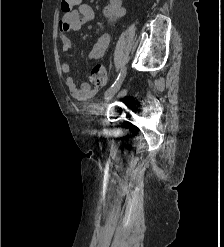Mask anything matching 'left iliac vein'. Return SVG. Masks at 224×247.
I'll list each match as a JSON object with an SVG mask.
<instances>
[{
  "label": "left iliac vein",
  "mask_w": 224,
  "mask_h": 247,
  "mask_svg": "<svg viewBox=\"0 0 224 247\" xmlns=\"http://www.w3.org/2000/svg\"><path fill=\"white\" fill-rule=\"evenodd\" d=\"M123 81L118 82L114 86L110 87L106 92H105V100H110L120 89Z\"/></svg>",
  "instance_id": "4c4485c4"
}]
</instances>
